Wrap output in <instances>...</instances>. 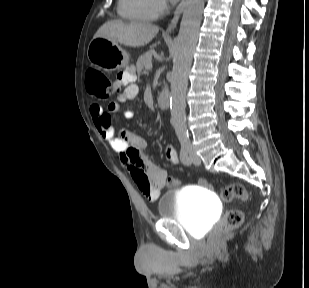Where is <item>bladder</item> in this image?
I'll return each instance as SVG.
<instances>
[{"label":"bladder","mask_w":309,"mask_h":288,"mask_svg":"<svg viewBox=\"0 0 309 288\" xmlns=\"http://www.w3.org/2000/svg\"><path fill=\"white\" fill-rule=\"evenodd\" d=\"M219 206L203 186L169 190L157 199L160 218L176 219L192 233L205 232L215 222Z\"/></svg>","instance_id":"31cf9c89"}]
</instances>
